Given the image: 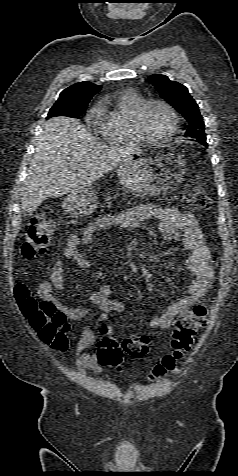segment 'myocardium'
<instances>
[{"label": "myocardium", "instance_id": "obj_1", "mask_svg": "<svg viewBox=\"0 0 238 476\" xmlns=\"http://www.w3.org/2000/svg\"><path fill=\"white\" fill-rule=\"evenodd\" d=\"M154 104L163 106L168 111L172 120V124L169 131L164 136L159 138L152 137L151 135H149L143 123L144 114L147 108ZM134 127L136 133L143 141L148 143H164L168 141L177 132L179 127V118L175 109L167 101L159 98H151L144 100L137 108L134 116Z\"/></svg>", "mask_w": 238, "mask_h": 476}]
</instances>
